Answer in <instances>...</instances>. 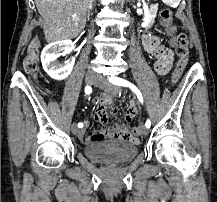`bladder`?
Returning a JSON list of instances; mask_svg holds the SVG:
<instances>
[{"instance_id":"31cf9c89","label":"bladder","mask_w":217,"mask_h":202,"mask_svg":"<svg viewBox=\"0 0 217 202\" xmlns=\"http://www.w3.org/2000/svg\"><path fill=\"white\" fill-rule=\"evenodd\" d=\"M87 158L106 164L125 163L137 156L138 143L130 141H104L84 147Z\"/></svg>"}]
</instances>
